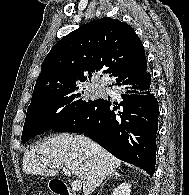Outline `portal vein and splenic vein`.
<instances>
[{
  "label": "portal vein and splenic vein",
  "mask_w": 189,
  "mask_h": 195,
  "mask_svg": "<svg viewBox=\"0 0 189 195\" xmlns=\"http://www.w3.org/2000/svg\"><path fill=\"white\" fill-rule=\"evenodd\" d=\"M50 168L55 169V168H62V167L59 165H51ZM63 172L66 176L71 175L70 170L67 168H63ZM81 187H82V183L80 180H73L72 181L71 188L73 191H79V190H81Z\"/></svg>",
  "instance_id": "obj_1"
}]
</instances>
